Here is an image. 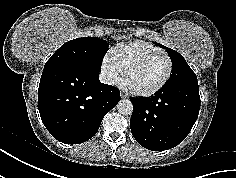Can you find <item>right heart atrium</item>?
I'll use <instances>...</instances> for the list:
<instances>
[{
	"label": "right heart atrium",
	"mask_w": 236,
	"mask_h": 178,
	"mask_svg": "<svg viewBox=\"0 0 236 178\" xmlns=\"http://www.w3.org/2000/svg\"><path fill=\"white\" fill-rule=\"evenodd\" d=\"M101 74L108 84L116 85L121 82L122 71L111 59L110 55H105L101 62Z\"/></svg>",
	"instance_id": "obj_1"
}]
</instances>
